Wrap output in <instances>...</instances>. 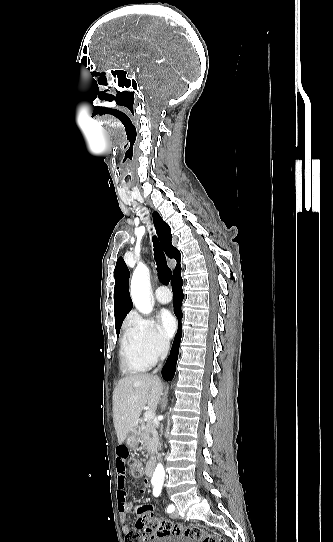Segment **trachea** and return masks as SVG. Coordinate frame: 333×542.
Returning <instances> with one entry per match:
<instances>
[{
	"instance_id": "3493384b",
	"label": "trachea",
	"mask_w": 333,
	"mask_h": 542,
	"mask_svg": "<svg viewBox=\"0 0 333 542\" xmlns=\"http://www.w3.org/2000/svg\"><path fill=\"white\" fill-rule=\"evenodd\" d=\"M154 256L157 264L158 278L164 284H169L171 280V270L167 265L165 255L156 237H153Z\"/></svg>"
}]
</instances>
